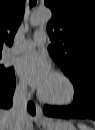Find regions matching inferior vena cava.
I'll list each match as a JSON object with an SVG mask.
<instances>
[{"instance_id":"602c4592","label":"inferior vena cava","mask_w":95,"mask_h":130,"mask_svg":"<svg viewBox=\"0 0 95 130\" xmlns=\"http://www.w3.org/2000/svg\"><path fill=\"white\" fill-rule=\"evenodd\" d=\"M13 105L9 110L15 122V130H21V123L28 115L27 113V87L25 85L18 86L13 95Z\"/></svg>"}]
</instances>
